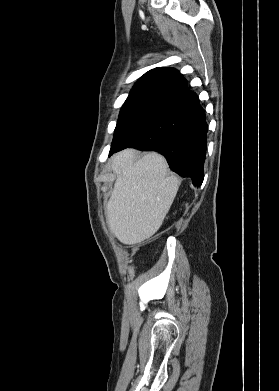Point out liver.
I'll use <instances>...</instances> for the list:
<instances>
[{"label":"liver","mask_w":279,"mask_h":391,"mask_svg":"<svg viewBox=\"0 0 279 391\" xmlns=\"http://www.w3.org/2000/svg\"><path fill=\"white\" fill-rule=\"evenodd\" d=\"M112 170L117 178L106 205L107 224L123 244L141 243L162 225L179 180L156 152L137 160L135 150L125 149L113 157Z\"/></svg>","instance_id":"6515ba94"}]
</instances>
